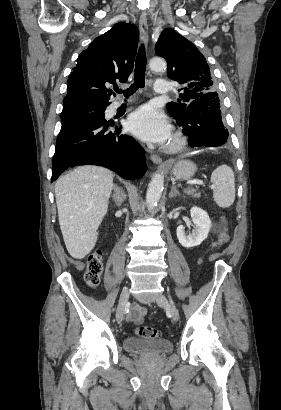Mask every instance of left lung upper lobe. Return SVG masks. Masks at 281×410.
<instances>
[{
  "label": "left lung upper lobe",
  "instance_id": "5c2ea615",
  "mask_svg": "<svg viewBox=\"0 0 281 410\" xmlns=\"http://www.w3.org/2000/svg\"><path fill=\"white\" fill-rule=\"evenodd\" d=\"M155 52L167 61V76L183 87L177 103H167L166 108L177 121L183 122L189 104L199 98H218L215 83L205 57L195 45L173 29H164L155 45Z\"/></svg>",
  "mask_w": 281,
  "mask_h": 410
}]
</instances>
